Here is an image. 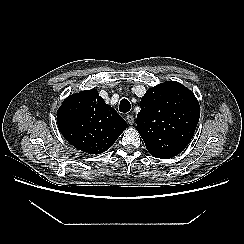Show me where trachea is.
<instances>
[{"mask_svg": "<svg viewBox=\"0 0 244 244\" xmlns=\"http://www.w3.org/2000/svg\"><path fill=\"white\" fill-rule=\"evenodd\" d=\"M131 109L130 102L127 99H122L119 104V110L122 113H127Z\"/></svg>", "mask_w": 244, "mask_h": 244, "instance_id": "3493384b", "label": "trachea"}]
</instances>
